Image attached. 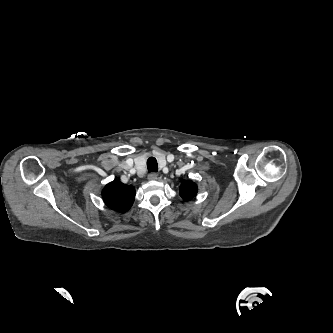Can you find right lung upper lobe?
I'll use <instances>...</instances> for the list:
<instances>
[{
	"label": "right lung upper lobe",
	"mask_w": 333,
	"mask_h": 333,
	"mask_svg": "<svg viewBox=\"0 0 333 333\" xmlns=\"http://www.w3.org/2000/svg\"><path fill=\"white\" fill-rule=\"evenodd\" d=\"M102 197L109 208L123 213L128 211L132 206L135 197V189L132 186L114 180L104 187Z\"/></svg>",
	"instance_id": "cb5924a9"
}]
</instances>
